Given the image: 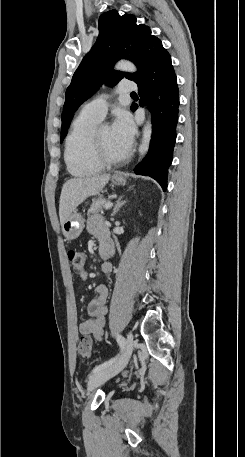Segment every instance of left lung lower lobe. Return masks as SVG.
Wrapping results in <instances>:
<instances>
[{
  "mask_svg": "<svg viewBox=\"0 0 245 457\" xmlns=\"http://www.w3.org/2000/svg\"><path fill=\"white\" fill-rule=\"evenodd\" d=\"M139 105L148 106L152 115V139L144 160L135 173L154 178L166 191L178 123L179 89L171 56L163 48L152 52L139 71L137 79ZM138 105L133 104L135 111Z\"/></svg>",
  "mask_w": 245,
  "mask_h": 457,
  "instance_id": "1",
  "label": "left lung lower lobe"
}]
</instances>
